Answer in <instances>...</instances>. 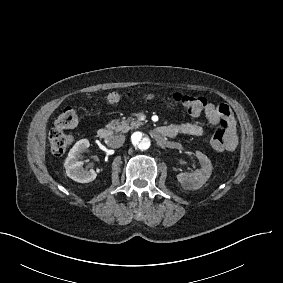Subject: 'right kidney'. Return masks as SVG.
I'll list each match as a JSON object with an SVG mask.
<instances>
[{
  "label": "right kidney",
  "mask_w": 283,
  "mask_h": 283,
  "mask_svg": "<svg viewBox=\"0 0 283 283\" xmlns=\"http://www.w3.org/2000/svg\"><path fill=\"white\" fill-rule=\"evenodd\" d=\"M90 143L87 139H81L70 149L68 157L65 160L64 167L69 178L79 183H88L93 181L97 174L93 169H83V162L78 161V156L86 151Z\"/></svg>",
  "instance_id": "ca27d5eb"
}]
</instances>
